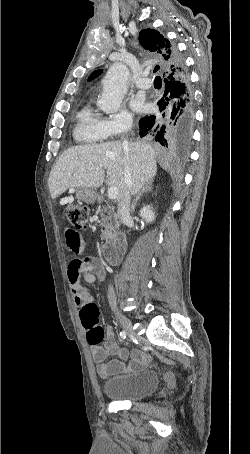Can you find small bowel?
I'll return each mask as SVG.
<instances>
[{
    "label": "small bowel",
    "instance_id": "obj_1",
    "mask_svg": "<svg viewBox=\"0 0 250 454\" xmlns=\"http://www.w3.org/2000/svg\"><path fill=\"white\" fill-rule=\"evenodd\" d=\"M65 239L68 248L75 254H79L83 245L80 239L79 232L71 231L69 228L65 231ZM105 276V268L102 262L95 257L74 258L67 266V277L71 286L74 302L78 307L93 303L92 296L89 291L81 283L82 279L91 284L96 279H103ZM116 356L117 359L110 360L109 358ZM131 357L129 362L125 360ZM92 357L96 363L97 373L102 378L121 373L126 370H138L144 367L149 357L139 350H134L131 353L120 349L117 345L115 333L112 327L106 328L104 346H93Z\"/></svg>",
    "mask_w": 250,
    "mask_h": 454
}]
</instances>
